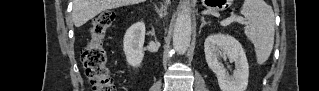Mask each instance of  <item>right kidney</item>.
Masks as SVG:
<instances>
[{
	"mask_svg": "<svg viewBox=\"0 0 319 91\" xmlns=\"http://www.w3.org/2000/svg\"><path fill=\"white\" fill-rule=\"evenodd\" d=\"M145 40V24L137 22L125 33L123 48L129 65L137 68L144 58L143 45Z\"/></svg>",
	"mask_w": 319,
	"mask_h": 91,
	"instance_id": "ca27d5eb",
	"label": "right kidney"
}]
</instances>
